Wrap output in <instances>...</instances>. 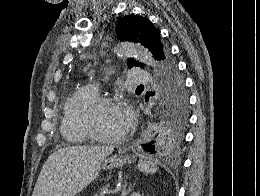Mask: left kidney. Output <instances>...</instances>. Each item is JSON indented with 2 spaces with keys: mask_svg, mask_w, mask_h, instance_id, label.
I'll list each match as a JSON object with an SVG mask.
<instances>
[{
  "mask_svg": "<svg viewBox=\"0 0 260 196\" xmlns=\"http://www.w3.org/2000/svg\"><path fill=\"white\" fill-rule=\"evenodd\" d=\"M131 196H141V194H139V192H133V194H131Z\"/></svg>",
  "mask_w": 260,
  "mask_h": 196,
  "instance_id": "left-kidney-1",
  "label": "left kidney"
}]
</instances>
